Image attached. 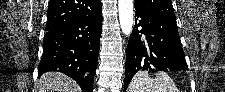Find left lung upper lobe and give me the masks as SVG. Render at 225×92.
<instances>
[{"label":"left lung upper lobe","mask_w":225,"mask_h":92,"mask_svg":"<svg viewBox=\"0 0 225 92\" xmlns=\"http://www.w3.org/2000/svg\"><path fill=\"white\" fill-rule=\"evenodd\" d=\"M134 7L151 16L176 22L171 0H135Z\"/></svg>","instance_id":"1"}]
</instances>
